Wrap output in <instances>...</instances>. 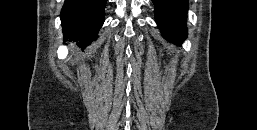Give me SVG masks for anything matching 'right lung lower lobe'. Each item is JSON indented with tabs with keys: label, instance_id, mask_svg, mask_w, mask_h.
I'll return each mask as SVG.
<instances>
[{
	"label": "right lung lower lobe",
	"instance_id": "obj_1",
	"mask_svg": "<svg viewBox=\"0 0 257 130\" xmlns=\"http://www.w3.org/2000/svg\"><path fill=\"white\" fill-rule=\"evenodd\" d=\"M106 0H65L61 22L65 39L86 47L95 41L104 22Z\"/></svg>",
	"mask_w": 257,
	"mask_h": 130
}]
</instances>
